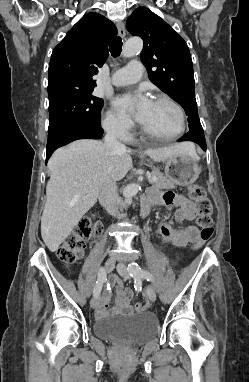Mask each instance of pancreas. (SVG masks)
I'll use <instances>...</instances> for the list:
<instances>
[{
	"label": "pancreas",
	"instance_id": "obj_1",
	"mask_svg": "<svg viewBox=\"0 0 249 382\" xmlns=\"http://www.w3.org/2000/svg\"><path fill=\"white\" fill-rule=\"evenodd\" d=\"M153 177H156L157 180L154 182L153 188L156 190L159 189H173L176 187V182L163 173H161L158 169H153L151 172Z\"/></svg>",
	"mask_w": 249,
	"mask_h": 382
}]
</instances>
